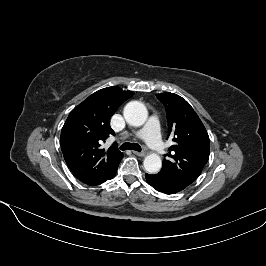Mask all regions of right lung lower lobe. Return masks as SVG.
<instances>
[{"mask_svg":"<svg viewBox=\"0 0 266 266\" xmlns=\"http://www.w3.org/2000/svg\"><path fill=\"white\" fill-rule=\"evenodd\" d=\"M117 168H118V167H117ZM117 168L115 169V171H114V172H113L108 178H106V179H104V180H101V181L97 182V183L94 184V185H99V184H101V183H103V182H105V181H107V180H110V179L114 178L115 175H116Z\"/></svg>","mask_w":266,"mask_h":266,"instance_id":"right-lung-lower-lobe-1","label":"right lung lower lobe"}]
</instances>
